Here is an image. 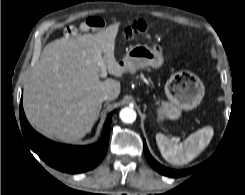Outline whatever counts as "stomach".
Wrapping results in <instances>:
<instances>
[{
  "label": "stomach",
  "instance_id": "stomach-1",
  "mask_svg": "<svg viewBox=\"0 0 245 195\" xmlns=\"http://www.w3.org/2000/svg\"><path fill=\"white\" fill-rule=\"evenodd\" d=\"M162 62L159 48L135 45L129 48L119 64L125 68V72H133L149 66L159 68ZM164 89L167 101L162 102L157 110L159 119H178L183 110L197 107L205 93V87L200 78L187 70L172 74Z\"/></svg>",
  "mask_w": 245,
  "mask_h": 195
}]
</instances>
